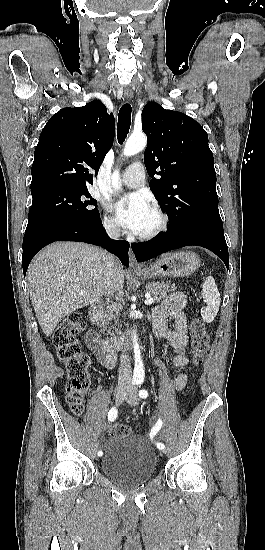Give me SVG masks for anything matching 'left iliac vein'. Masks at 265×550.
<instances>
[{"mask_svg":"<svg viewBox=\"0 0 265 550\" xmlns=\"http://www.w3.org/2000/svg\"><path fill=\"white\" fill-rule=\"evenodd\" d=\"M125 400H126V402H127L128 404H130V405H132V406L137 405V403H138V396H137V394H136L135 388H130V389L128 390V393H127V395H126V397H125ZM163 451H164V453H167V450H166V449H164Z\"/></svg>","mask_w":265,"mask_h":550,"instance_id":"left-iliac-vein-1","label":"left iliac vein"}]
</instances>
